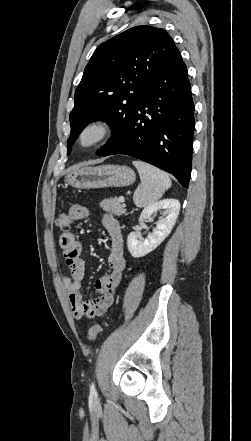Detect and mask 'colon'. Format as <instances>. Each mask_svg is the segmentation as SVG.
I'll return each mask as SVG.
<instances>
[{
    "mask_svg": "<svg viewBox=\"0 0 251 441\" xmlns=\"http://www.w3.org/2000/svg\"><path fill=\"white\" fill-rule=\"evenodd\" d=\"M72 224V217L70 214H61L56 219V226L64 233H68ZM105 323L94 324L87 333L89 341H94L103 330Z\"/></svg>",
    "mask_w": 251,
    "mask_h": 441,
    "instance_id": "obj_1",
    "label": "colon"
}]
</instances>
